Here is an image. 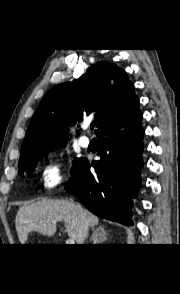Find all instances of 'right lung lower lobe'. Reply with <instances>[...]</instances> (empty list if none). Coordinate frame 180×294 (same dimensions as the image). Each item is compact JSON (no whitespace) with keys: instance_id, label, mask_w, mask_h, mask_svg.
<instances>
[{"instance_id":"obj_1","label":"right lung lower lobe","mask_w":180,"mask_h":294,"mask_svg":"<svg viewBox=\"0 0 180 294\" xmlns=\"http://www.w3.org/2000/svg\"><path fill=\"white\" fill-rule=\"evenodd\" d=\"M139 99L109 119L97 132L99 161L85 159L65 187L99 217L133 225L132 198L138 195L144 130ZM94 167L96 174L90 172Z\"/></svg>"}]
</instances>
